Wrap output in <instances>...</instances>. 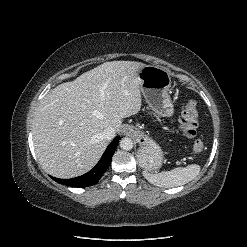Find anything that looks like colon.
Wrapping results in <instances>:
<instances>
[{"instance_id": "5ec220e1", "label": "colon", "mask_w": 247, "mask_h": 247, "mask_svg": "<svg viewBox=\"0 0 247 247\" xmlns=\"http://www.w3.org/2000/svg\"><path fill=\"white\" fill-rule=\"evenodd\" d=\"M199 125V114L196 101L188 100L182 107V112L179 120V126L182 133L186 136H194ZM205 148L202 140H195L193 143V151L195 154H200Z\"/></svg>"}]
</instances>
